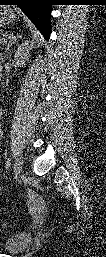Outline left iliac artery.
<instances>
[{
    "label": "left iliac artery",
    "mask_w": 106,
    "mask_h": 257,
    "mask_svg": "<svg viewBox=\"0 0 106 257\" xmlns=\"http://www.w3.org/2000/svg\"><path fill=\"white\" fill-rule=\"evenodd\" d=\"M10 164H11V160H10V158H8L6 161V169H9Z\"/></svg>",
    "instance_id": "1"
}]
</instances>
